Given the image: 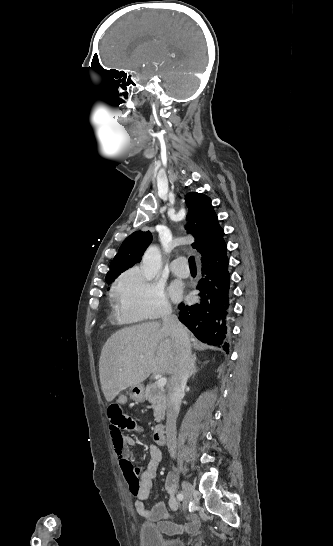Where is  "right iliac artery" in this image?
<instances>
[{"label": "right iliac artery", "mask_w": 333, "mask_h": 546, "mask_svg": "<svg viewBox=\"0 0 333 546\" xmlns=\"http://www.w3.org/2000/svg\"><path fill=\"white\" fill-rule=\"evenodd\" d=\"M183 498H184L183 494H181V493L177 494V499L178 500L182 501Z\"/></svg>", "instance_id": "82829eb1"}]
</instances>
